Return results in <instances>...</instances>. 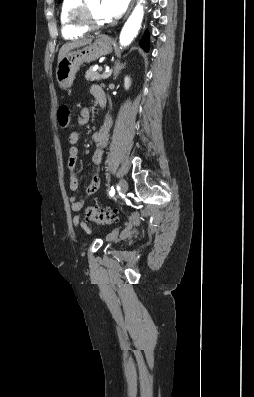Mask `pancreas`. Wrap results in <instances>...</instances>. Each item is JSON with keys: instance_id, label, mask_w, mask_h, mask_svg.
Listing matches in <instances>:
<instances>
[{"instance_id": "cf45deb5", "label": "pancreas", "mask_w": 254, "mask_h": 397, "mask_svg": "<svg viewBox=\"0 0 254 397\" xmlns=\"http://www.w3.org/2000/svg\"><path fill=\"white\" fill-rule=\"evenodd\" d=\"M101 70V67H99V71ZM99 76V73L93 70V67H90L85 74V78L88 81H95L97 77Z\"/></svg>"}]
</instances>
